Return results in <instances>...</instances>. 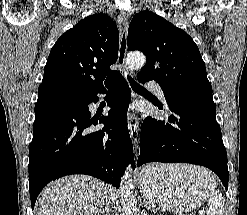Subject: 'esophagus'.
Returning <instances> with one entry per match:
<instances>
[{"label":"esophagus","mask_w":247,"mask_h":215,"mask_svg":"<svg viewBox=\"0 0 247 215\" xmlns=\"http://www.w3.org/2000/svg\"><path fill=\"white\" fill-rule=\"evenodd\" d=\"M128 25H129V17L127 13L122 11L118 16V26L120 31V43H119V52H118V63L122 67V72L126 76L133 77L134 72L130 69L126 62V52H127V34H128ZM133 99H135V95L132 94ZM129 130L130 136L133 142L135 149L138 146V120L134 112L129 114Z\"/></svg>","instance_id":"1"}]
</instances>
